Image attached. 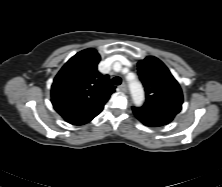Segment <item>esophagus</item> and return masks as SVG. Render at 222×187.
<instances>
[{"label": "esophagus", "mask_w": 222, "mask_h": 187, "mask_svg": "<svg viewBox=\"0 0 222 187\" xmlns=\"http://www.w3.org/2000/svg\"><path fill=\"white\" fill-rule=\"evenodd\" d=\"M119 89L123 92H125L127 90V86L125 83H122L120 86H119Z\"/></svg>", "instance_id": "esophagus-1"}]
</instances>
